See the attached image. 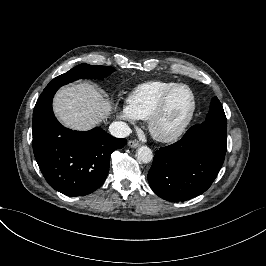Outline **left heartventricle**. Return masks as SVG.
<instances>
[{"mask_svg": "<svg viewBox=\"0 0 266 266\" xmlns=\"http://www.w3.org/2000/svg\"><path fill=\"white\" fill-rule=\"evenodd\" d=\"M192 106L190 91L186 87L178 88L169 99L164 112L157 119L156 130L163 134L175 132L189 117Z\"/></svg>", "mask_w": 266, "mask_h": 266, "instance_id": "b2bd125f", "label": "left heart ventricle"}]
</instances>
